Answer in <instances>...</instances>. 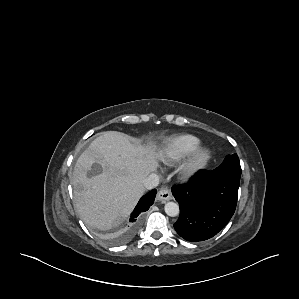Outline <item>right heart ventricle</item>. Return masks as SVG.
Listing matches in <instances>:
<instances>
[{
	"mask_svg": "<svg viewBox=\"0 0 299 299\" xmlns=\"http://www.w3.org/2000/svg\"><path fill=\"white\" fill-rule=\"evenodd\" d=\"M200 145V140L184 134L167 139L160 152V159L166 164H176L189 157Z\"/></svg>",
	"mask_w": 299,
	"mask_h": 299,
	"instance_id": "right-heart-ventricle-1",
	"label": "right heart ventricle"
}]
</instances>
